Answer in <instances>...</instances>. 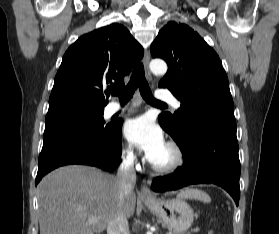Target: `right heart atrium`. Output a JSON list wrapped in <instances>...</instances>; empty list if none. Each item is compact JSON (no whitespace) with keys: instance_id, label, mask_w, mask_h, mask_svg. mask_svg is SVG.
Masks as SVG:
<instances>
[{"instance_id":"1","label":"right heart atrium","mask_w":279,"mask_h":234,"mask_svg":"<svg viewBox=\"0 0 279 234\" xmlns=\"http://www.w3.org/2000/svg\"><path fill=\"white\" fill-rule=\"evenodd\" d=\"M121 160L129 166H135L138 160L137 153L131 145H125L121 149Z\"/></svg>"}]
</instances>
